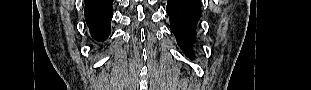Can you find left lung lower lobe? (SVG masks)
<instances>
[{
	"label": "left lung lower lobe",
	"mask_w": 311,
	"mask_h": 90,
	"mask_svg": "<svg viewBox=\"0 0 311 90\" xmlns=\"http://www.w3.org/2000/svg\"><path fill=\"white\" fill-rule=\"evenodd\" d=\"M166 12L179 47L187 57L193 59L191 46L195 42L196 25L201 16L200 0H167Z\"/></svg>",
	"instance_id": "1"
}]
</instances>
